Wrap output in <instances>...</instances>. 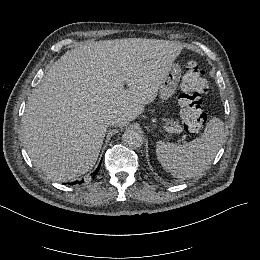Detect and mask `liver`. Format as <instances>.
<instances>
[{"label": "liver", "instance_id": "6515ba94", "mask_svg": "<svg viewBox=\"0 0 260 260\" xmlns=\"http://www.w3.org/2000/svg\"><path fill=\"white\" fill-rule=\"evenodd\" d=\"M181 51L177 42L155 39L99 41L68 50L26 103L21 135L33 164L61 182L92 169L107 117L116 115L118 127L136 119L155 100Z\"/></svg>", "mask_w": 260, "mask_h": 260}]
</instances>
